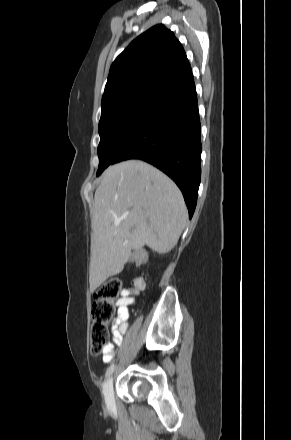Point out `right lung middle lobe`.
<instances>
[{
  "label": "right lung middle lobe",
  "mask_w": 291,
  "mask_h": 440,
  "mask_svg": "<svg viewBox=\"0 0 291 440\" xmlns=\"http://www.w3.org/2000/svg\"><path fill=\"white\" fill-rule=\"evenodd\" d=\"M154 99L153 96H138L102 106L97 176L111 164L114 155L139 125Z\"/></svg>",
  "instance_id": "right-lung-middle-lobe-1"
}]
</instances>
